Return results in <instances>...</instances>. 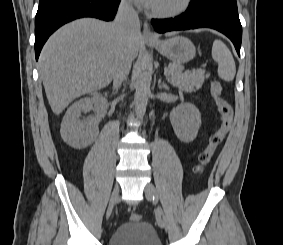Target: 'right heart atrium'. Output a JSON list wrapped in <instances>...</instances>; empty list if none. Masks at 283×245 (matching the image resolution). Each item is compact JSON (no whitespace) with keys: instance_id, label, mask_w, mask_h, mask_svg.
Returning a JSON list of instances; mask_svg holds the SVG:
<instances>
[{"instance_id":"d8ad5b80","label":"right heart atrium","mask_w":283,"mask_h":245,"mask_svg":"<svg viewBox=\"0 0 283 245\" xmlns=\"http://www.w3.org/2000/svg\"><path fill=\"white\" fill-rule=\"evenodd\" d=\"M125 3L128 2L129 0H123Z\"/></svg>"}]
</instances>
